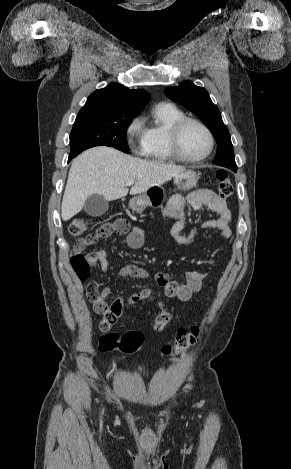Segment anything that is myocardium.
Masks as SVG:
<instances>
[{
  "label": "myocardium",
  "mask_w": 291,
  "mask_h": 469,
  "mask_svg": "<svg viewBox=\"0 0 291 469\" xmlns=\"http://www.w3.org/2000/svg\"><path fill=\"white\" fill-rule=\"evenodd\" d=\"M190 123L196 124L199 127H201L204 130V132L206 133V135L208 137V141H209V146H208L207 151L202 156H200L198 158H189V157L185 156L184 153L182 152V149H181V134H182V131L185 128V126L190 124ZM214 145H215V139H214V135H213L212 131L210 130V128L204 122H202L199 119H196V118H193V117H183V118L179 119L178 121H176L172 125V127L170 128V131H169L170 150H171L173 156L179 161H182V162H185V163H191V164L203 162L213 152Z\"/></svg>",
  "instance_id": "obj_1"
}]
</instances>
